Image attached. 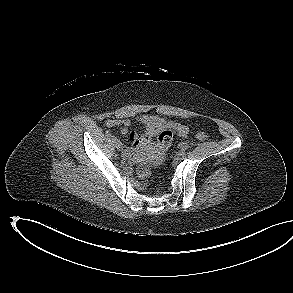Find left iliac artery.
<instances>
[{"instance_id": "1", "label": "left iliac artery", "mask_w": 293, "mask_h": 293, "mask_svg": "<svg viewBox=\"0 0 293 293\" xmlns=\"http://www.w3.org/2000/svg\"><path fill=\"white\" fill-rule=\"evenodd\" d=\"M179 147H180V151H184V152L185 150L188 149V145L186 143H181Z\"/></svg>"}]
</instances>
